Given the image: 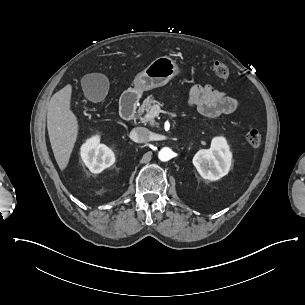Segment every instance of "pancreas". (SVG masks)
I'll use <instances>...</instances> for the list:
<instances>
[{
    "mask_svg": "<svg viewBox=\"0 0 305 305\" xmlns=\"http://www.w3.org/2000/svg\"><path fill=\"white\" fill-rule=\"evenodd\" d=\"M158 102L154 99L153 96H149L146 98L142 104L141 107L138 108L137 110V116L142 117L143 115H148L152 122L150 123L151 126H156V122L154 121L155 116L151 114V108L154 106V104H157ZM146 122L147 121H143Z\"/></svg>",
    "mask_w": 305,
    "mask_h": 305,
    "instance_id": "pancreas-1",
    "label": "pancreas"
}]
</instances>
